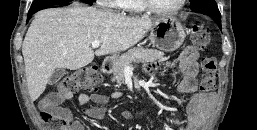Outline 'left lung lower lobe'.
I'll use <instances>...</instances> for the list:
<instances>
[{
	"instance_id": "obj_1",
	"label": "left lung lower lobe",
	"mask_w": 257,
	"mask_h": 130,
	"mask_svg": "<svg viewBox=\"0 0 257 130\" xmlns=\"http://www.w3.org/2000/svg\"><path fill=\"white\" fill-rule=\"evenodd\" d=\"M214 19L218 22L219 28L221 29V17H214Z\"/></svg>"
}]
</instances>
